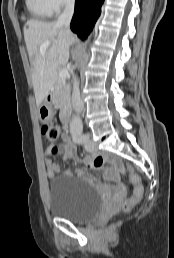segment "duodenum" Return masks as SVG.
Returning <instances> with one entry per match:
<instances>
[{
	"mask_svg": "<svg viewBox=\"0 0 174 258\" xmlns=\"http://www.w3.org/2000/svg\"><path fill=\"white\" fill-rule=\"evenodd\" d=\"M47 97H48V100L52 102V95L50 93L47 95ZM70 121H71L70 108L68 104H64L63 110H62V122L65 125H68Z\"/></svg>",
	"mask_w": 174,
	"mask_h": 258,
	"instance_id": "410a0bca",
	"label": "duodenum"
}]
</instances>
